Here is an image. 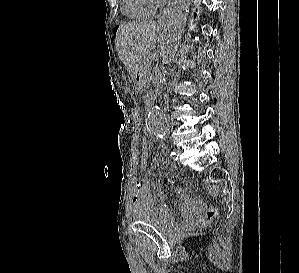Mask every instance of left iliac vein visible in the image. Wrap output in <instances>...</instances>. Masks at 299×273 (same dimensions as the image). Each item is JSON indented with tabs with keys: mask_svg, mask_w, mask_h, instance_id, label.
I'll list each match as a JSON object with an SVG mask.
<instances>
[{
	"mask_svg": "<svg viewBox=\"0 0 299 273\" xmlns=\"http://www.w3.org/2000/svg\"><path fill=\"white\" fill-rule=\"evenodd\" d=\"M181 152H182V151H181L180 149H177V150H176V153H177L178 156L181 154Z\"/></svg>",
	"mask_w": 299,
	"mask_h": 273,
	"instance_id": "left-iliac-vein-1",
	"label": "left iliac vein"
}]
</instances>
